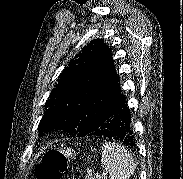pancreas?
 Listing matches in <instances>:
<instances>
[{
	"mask_svg": "<svg viewBox=\"0 0 183 179\" xmlns=\"http://www.w3.org/2000/svg\"><path fill=\"white\" fill-rule=\"evenodd\" d=\"M85 179H107V177L104 175L93 176L91 174H86Z\"/></svg>",
	"mask_w": 183,
	"mask_h": 179,
	"instance_id": "obj_1",
	"label": "pancreas"
}]
</instances>
